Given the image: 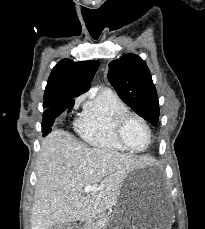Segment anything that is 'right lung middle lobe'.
<instances>
[{
    "label": "right lung middle lobe",
    "instance_id": "right-lung-middle-lobe-1",
    "mask_svg": "<svg viewBox=\"0 0 205 229\" xmlns=\"http://www.w3.org/2000/svg\"><path fill=\"white\" fill-rule=\"evenodd\" d=\"M51 106H52V105L44 107V105H43L44 108H49V107H51Z\"/></svg>",
    "mask_w": 205,
    "mask_h": 229
}]
</instances>
